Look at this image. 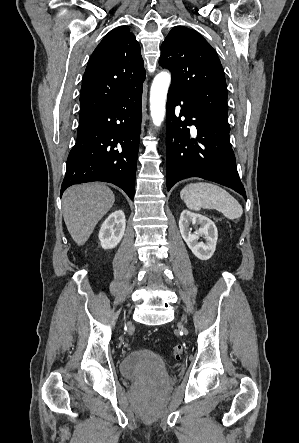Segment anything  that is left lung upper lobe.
I'll return each mask as SVG.
<instances>
[{"mask_svg": "<svg viewBox=\"0 0 299 443\" xmlns=\"http://www.w3.org/2000/svg\"><path fill=\"white\" fill-rule=\"evenodd\" d=\"M159 64L172 74L170 87L228 120L222 65L215 50L198 32L174 27L162 43Z\"/></svg>", "mask_w": 299, "mask_h": 443, "instance_id": "5c2ea615", "label": "left lung upper lobe"}]
</instances>
